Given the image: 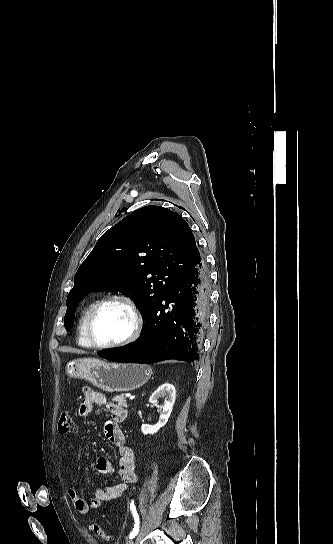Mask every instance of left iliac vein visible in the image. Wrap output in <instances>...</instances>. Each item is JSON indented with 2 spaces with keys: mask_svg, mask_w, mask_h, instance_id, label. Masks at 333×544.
I'll return each mask as SVG.
<instances>
[{
  "mask_svg": "<svg viewBox=\"0 0 333 544\" xmlns=\"http://www.w3.org/2000/svg\"><path fill=\"white\" fill-rule=\"evenodd\" d=\"M126 544H134L133 539L128 540V541L126 542Z\"/></svg>",
  "mask_w": 333,
  "mask_h": 544,
  "instance_id": "1",
  "label": "left iliac vein"
}]
</instances>
